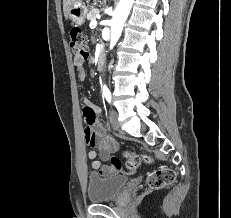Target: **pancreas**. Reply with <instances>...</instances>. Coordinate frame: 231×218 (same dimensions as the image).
Masks as SVG:
<instances>
[{
    "instance_id": "1",
    "label": "pancreas",
    "mask_w": 231,
    "mask_h": 218,
    "mask_svg": "<svg viewBox=\"0 0 231 218\" xmlns=\"http://www.w3.org/2000/svg\"><path fill=\"white\" fill-rule=\"evenodd\" d=\"M99 9L93 8L90 10V12L87 14V19L89 21L96 20V15L99 13Z\"/></svg>"
}]
</instances>
